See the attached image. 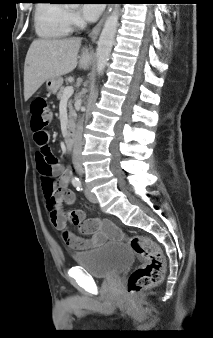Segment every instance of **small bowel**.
<instances>
[{"label":"small bowel","instance_id":"obj_1","mask_svg":"<svg viewBox=\"0 0 213 338\" xmlns=\"http://www.w3.org/2000/svg\"><path fill=\"white\" fill-rule=\"evenodd\" d=\"M44 154L58 162L54 164V172L57 173L60 183L61 201L67 204H73L75 201V194L68 190L69 172L60 165V160L52 154L48 147H44ZM42 178V182L44 178ZM71 214L75 218V223L79 225L81 232L85 238L66 233L64 240L69 248L75 252L85 251L91 248L92 243H97L104 240H118L120 238V232L117 227L110 220H100L93 218L90 220L85 219V214L82 210H73ZM68 215L62 210L58 209L55 215L53 224L61 231L67 230ZM94 224H98L99 227H94Z\"/></svg>","mask_w":213,"mask_h":338}]
</instances>
